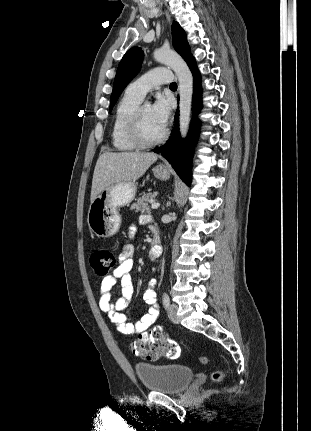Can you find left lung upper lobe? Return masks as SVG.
Returning a JSON list of instances; mask_svg holds the SVG:
<instances>
[{"mask_svg":"<svg viewBox=\"0 0 311 431\" xmlns=\"http://www.w3.org/2000/svg\"><path fill=\"white\" fill-rule=\"evenodd\" d=\"M172 36L175 50L188 63L193 56L191 55L190 47L187 42L186 33L180 27L179 23L175 21L172 24ZM143 56V51L139 47L131 48L123 56L121 62L119 63L114 80L113 91L110 100V111L115 105L121 92L140 71Z\"/></svg>","mask_w":311,"mask_h":431,"instance_id":"left-lung-upper-lobe-1","label":"left lung upper lobe"}]
</instances>
